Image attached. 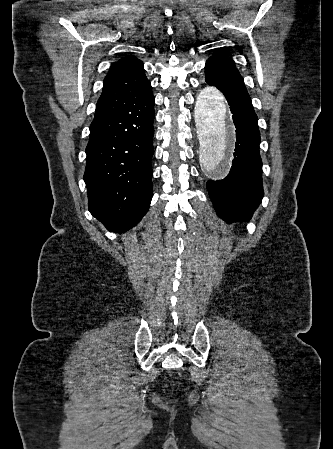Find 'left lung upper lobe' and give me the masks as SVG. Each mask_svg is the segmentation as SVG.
Masks as SVG:
<instances>
[{"instance_id":"5c2ea615","label":"left lung upper lobe","mask_w":333,"mask_h":449,"mask_svg":"<svg viewBox=\"0 0 333 449\" xmlns=\"http://www.w3.org/2000/svg\"><path fill=\"white\" fill-rule=\"evenodd\" d=\"M213 73L219 77L243 82V78L235 67L234 61L224 53H215L206 62L205 73Z\"/></svg>"}]
</instances>
